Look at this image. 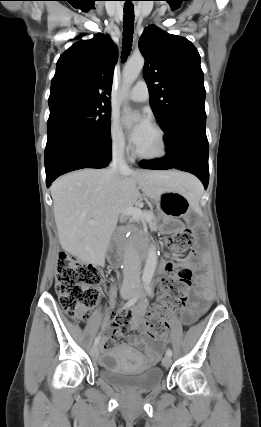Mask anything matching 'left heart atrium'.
<instances>
[{"label": "left heart atrium", "mask_w": 261, "mask_h": 427, "mask_svg": "<svg viewBox=\"0 0 261 427\" xmlns=\"http://www.w3.org/2000/svg\"><path fill=\"white\" fill-rule=\"evenodd\" d=\"M125 123L129 122V118L124 119ZM152 129V125L146 116H141L138 121L129 129V137L131 142L137 147L144 140L146 135Z\"/></svg>", "instance_id": "obj_1"}]
</instances>
